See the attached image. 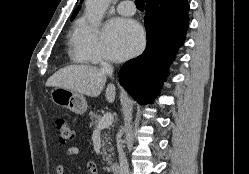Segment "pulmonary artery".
Here are the masks:
<instances>
[{
  "instance_id": "obj_1",
  "label": "pulmonary artery",
  "mask_w": 249,
  "mask_h": 174,
  "mask_svg": "<svg viewBox=\"0 0 249 174\" xmlns=\"http://www.w3.org/2000/svg\"><path fill=\"white\" fill-rule=\"evenodd\" d=\"M117 11L120 14L131 16L135 13V4L130 0L120 2L117 6Z\"/></svg>"
}]
</instances>
